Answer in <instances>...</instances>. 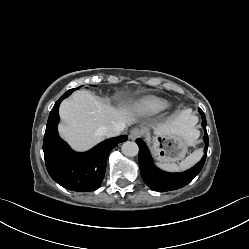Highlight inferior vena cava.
I'll return each mask as SVG.
<instances>
[{
    "label": "inferior vena cava",
    "mask_w": 249,
    "mask_h": 249,
    "mask_svg": "<svg viewBox=\"0 0 249 249\" xmlns=\"http://www.w3.org/2000/svg\"><path fill=\"white\" fill-rule=\"evenodd\" d=\"M126 124L123 122L115 123L105 126L99 130V132L105 137H116L125 129Z\"/></svg>",
    "instance_id": "602c4592"
}]
</instances>
